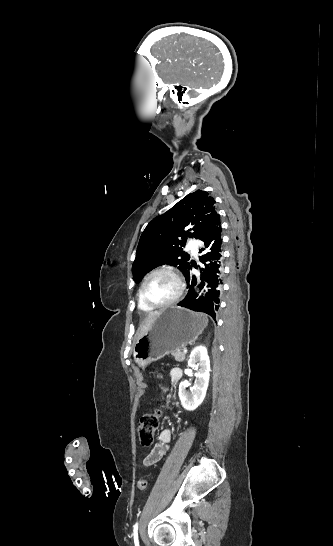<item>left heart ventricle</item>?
<instances>
[{"label": "left heart ventricle", "mask_w": 333, "mask_h": 546, "mask_svg": "<svg viewBox=\"0 0 333 546\" xmlns=\"http://www.w3.org/2000/svg\"><path fill=\"white\" fill-rule=\"evenodd\" d=\"M145 291L152 302L164 303L176 295L178 284L171 274L162 272L154 275L149 280Z\"/></svg>", "instance_id": "b2bd125f"}]
</instances>
